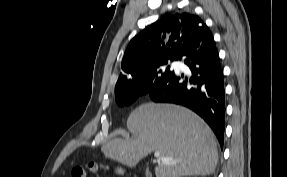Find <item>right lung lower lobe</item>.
<instances>
[{"instance_id": "right-lung-lower-lobe-1", "label": "right lung lower lobe", "mask_w": 287, "mask_h": 177, "mask_svg": "<svg viewBox=\"0 0 287 177\" xmlns=\"http://www.w3.org/2000/svg\"><path fill=\"white\" fill-rule=\"evenodd\" d=\"M178 60L191 70L185 78L172 72L146 94L154 102L175 103L200 115L215 133L221 148L225 130V90L219 54L209 29L188 43Z\"/></svg>"}]
</instances>
